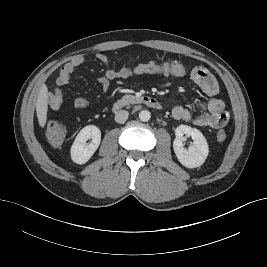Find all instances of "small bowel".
I'll return each instance as SVG.
<instances>
[{
    "label": "small bowel",
    "instance_id": "obj_1",
    "mask_svg": "<svg viewBox=\"0 0 267 267\" xmlns=\"http://www.w3.org/2000/svg\"><path fill=\"white\" fill-rule=\"evenodd\" d=\"M97 58L107 67L103 75L97 79L102 93H106L111 81L118 79V71L108 67L109 60L105 54L98 53ZM83 62V56L77 55L60 69L56 80L57 87L48 95V104L52 109H58L61 106L63 88L69 84L71 76ZM190 78L210 99L196 115L186 107L176 106L172 110L173 117L177 120L191 122L199 127L220 128L224 126L229 120V115L225 111L223 100L216 97L219 92V86L215 77L206 68L195 66L190 72ZM73 105L77 109H82L90 106L91 101L85 97H77L74 99Z\"/></svg>",
    "mask_w": 267,
    "mask_h": 267
}]
</instances>
